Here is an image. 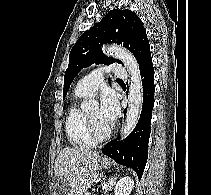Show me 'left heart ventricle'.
Listing matches in <instances>:
<instances>
[{
	"instance_id": "obj_1",
	"label": "left heart ventricle",
	"mask_w": 211,
	"mask_h": 195,
	"mask_svg": "<svg viewBox=\"0 0 211 195\" xmlns=\"http://www.w3.org/2000/svg\"><path fill=\"white\" fill-rule=\"evenodd\" d=\"M88 116L90 117L91 121L93 122V125L97 132L103 133L105 132L109 126L102 122L99 116V108H94L87 112Z\"/></svg>"
}]
</instances>
